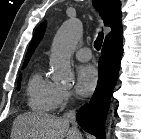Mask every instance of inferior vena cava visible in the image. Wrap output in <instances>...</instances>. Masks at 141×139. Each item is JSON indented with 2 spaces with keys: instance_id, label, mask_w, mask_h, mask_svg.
Returning a JSON list of instances; mask_svg holds the SVG:
<instances>
[{
  "instance_id": "602c4592",
  "label": "inferior vena cava",
  "mask_w": 141,
  "mask_h": 139,
  "mask_svg": "<svg viewBox=\"0 0 141 139\" xmlns=\"http://www.w3.org/2000/svg\"><path fill=\"white\" fill-rule=\"evenodd\" d=\"M63 118L73 124L72 130L78 135L81 136V133L76 127V113L75 110H69L66 113H64ZM81 138V137H78Z\"/></svg>"
}]
</instances>
